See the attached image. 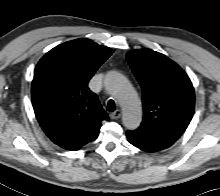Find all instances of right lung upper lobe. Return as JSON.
<instances>
[{
  "mask_svg": "<svg viewBox=\"0 0 220 196\" xmlns=\"http://www.w3.org/2000/svg\"><path fill=\"white\" fill-rule=\"evenodd\" d=\"M112 49L77 39L47 52L35 68L32 104L40 126L57 145L78 150L97 138L108 115L88 82Z\"/></svg>",
  "mask_w": 220,
  "mask_h": 196,
  "instance_id": "obj_1",
  "label": "right lung upper lobe"
}]
</instances>
